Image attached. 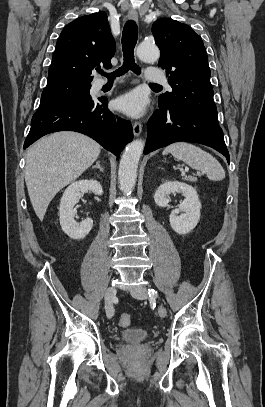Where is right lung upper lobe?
Wrapping results in <instances>:
<instances>
[{"instance_id": "right-lung-upper-lobe-1", "label": "right lung upper lobe", "mask_w": 265, "mask_h": 407, "mask_svg": "<svg viewBox=\"0 0 265 407\" xmlns=\"http://www.w3.org/2000/svg\"><path fill=\"white\" fill-rule=\"evenodd\" d=\"M115 40L105 12L79 17L69 23L58 38L49 69L48 82L90 83L92 69L112 67Z\"/></svg>"}]
</instances>
